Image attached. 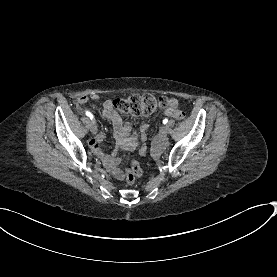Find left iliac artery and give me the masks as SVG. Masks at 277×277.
<instances>
[{
	"label": "left iliac artery",
	"instance_id": "1",
	"mask_svg": "<svg viewBox=\"0 0 277 277\" xmlns=\"http://www.w3.org/2000/svg\"><path fill=\"white\" fill-rule=\"evenodd\" d=\"M167 122H168V119L165 118V119L163 120V124H166Z\"/></svg>",
	"mask_w": 277,
	"mask_h": 277
}]
</instances>
